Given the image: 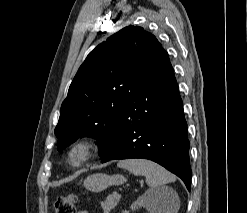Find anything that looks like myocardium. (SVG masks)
I'll use <instances>...</instances> for the list:
<instances>
[{
  "label": "myocardium",
  "mask_w": 247,
  "mask_h": 213,
  "mask_svg": "<svg viewBox=\"0 0 247 213\" xmlns=\"http://www.w3.org/2000/svg\"><path fill=\"white\" fill-rule=\"evenodd\" d=\"M97 151V143L89 137H81L74 140L67 150V163L73 168L86 165L94 157Z\"/></svg>",
  "instance_id": "1"
}]
</instances>
